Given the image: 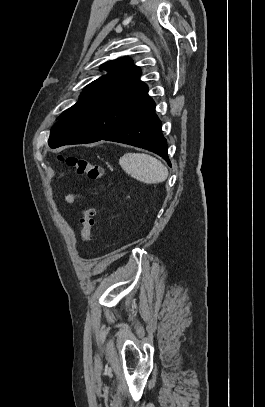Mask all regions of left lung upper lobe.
I'll list each match as a JSON object with an SVG mask.
<instances>
[{
	"label": "left lung upper lobe",
	"mask_w": 265,
	"mask_h": 407,
	"mask_svg": "<svg viewBox=\"0 0 265 407\" xmlns=\"http://www.w3.org/2000/svg\"><path fill=\"white\" fill-rule=\"evenodd\" d=\"M101 68L108 73L87 85L79 101L57 118L48 140L51 148L102 140L155 106L130 59L109 61Z\"/></svg>",
	"instance_id": "5c2ea615"
}]
</instances>
